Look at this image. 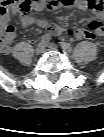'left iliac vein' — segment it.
I'll use <instances>...</instances> for the list:
<instances>
[{
    "label": "left iliac vein",
    "instance_id": "left-iliac-vein-1",
    "mask_svg": "<svg viewBox=\"0 0 104 137\" xmlns=\"http://www.w3.org/2000/svg\"><path fill=\"white\" fill-rule=\"evenodd\" d=\"M51 48H53V49H55V50H59V49H60V46L54 45V46H52Z\"/></svg>",
    "mask_w": 104,
    "mask_h": 137
}]
</instances>
